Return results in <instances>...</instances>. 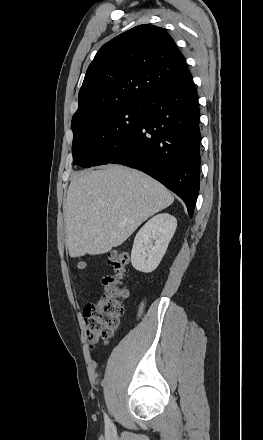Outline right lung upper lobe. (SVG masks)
Returning a JSON list of instances; mask_svg holds the SVG:
<instances>
[{
  "mask_svg": "<svg viewBox=\"0 0 263 440\" xmlns=\"http://www.w3.org/2000/svg\"><path fill=\"white\" fill-rule=\"evenodd\" d=\"M182 53L162 28L136 26L104 44L89 65L71 127L119 105L144 102L189 74Z\"/></svg>",
  "mask_w": 263,
  "mask_h": 440,
  "instance_id": "obj_1",
  "label": "right lung upper lobe"
}]
</instances>
